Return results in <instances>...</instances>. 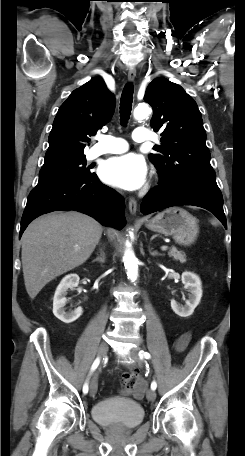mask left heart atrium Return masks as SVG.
<instances>
[{"label":"left heart atrium","instance_id":"obj_1","mask_svg":"<svg viewBox=\"0 0 245 456\" xmlns=\"http://www.w3.org/2000/svg\"><path fill=\"white\" fill-rule=\"evenodd\" d=\"M147 176L145 160L137 154L108 159L101 168V177L108 184L127 190H135L143 185Z\"/></svg>","mask_w":245,"mask_h":456}]
</instances>
